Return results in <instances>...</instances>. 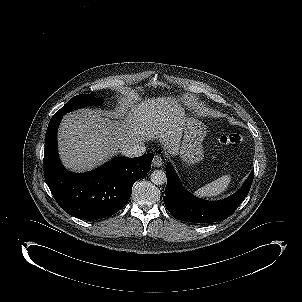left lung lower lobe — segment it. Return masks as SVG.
<instances>
[{"label":"left lung lower lobe","mask_w":302,"mask_h":302,"mask_svg":"<svg viewBox=\"0 0 302 302\" xmlns=\"http://www.w3.org/2000/svg\"><path fill=\"white\" fill-rule=\"evenodd\" d=\"M166 169L167 186L163 197L166 208L176 219L195 223L217 222L228 218L249 193L254 176L253 170L238 192L227 199L211 202L196 198L182 187L170 163H167Z\"/></svg>","instance_id":"0a47b994"}]
</instances>
